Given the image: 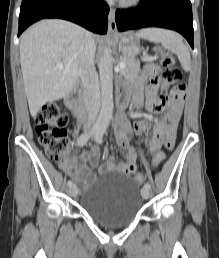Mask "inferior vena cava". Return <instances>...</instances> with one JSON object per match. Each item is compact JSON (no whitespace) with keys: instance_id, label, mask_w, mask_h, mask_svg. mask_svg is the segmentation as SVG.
<instances>
[{"instance_id":"602c4592","label":"inferior vena cava","mask_w":219,"mask_h":258,"mask_svg":"<svg viewBox=\"0 0 219 258\" xmlns=\"http://www.w3.org/2000/svg\"><path fill=\"white\" fill-rule=\"evenodd\" d=\"M96 44L91 33L87 32L80 54L79 75L82 80L84 104L87 111V122L84 127L90 128L97 118L100 105V89L98 75L94 66Z\"/></svg>"}]
</instances>
